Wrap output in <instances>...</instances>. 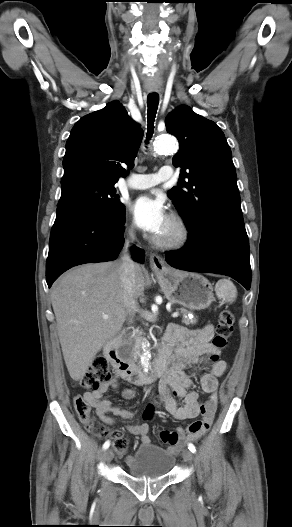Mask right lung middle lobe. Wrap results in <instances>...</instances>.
I'll list each match as a JSON object with an SVG mask.
<instances>
[{"label":"right lung middle lobe","mask_w":292,"mask_h":527,"mask_svg":"<svg viewBox=\"0 0 292 527\" xmlns=\"http://www.w3.org/2000/svg\"><path fill=\"white\" fill-rule=\"evenodd\" d=\"M61 186L57 210L65 207L84 208L112 221H119L125 214V206L119 201L114 184L78 177L61 182Z\"/></svg>","instance_id":"dd1d6c3e"}]
</instances>
